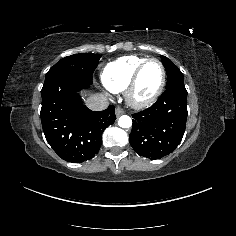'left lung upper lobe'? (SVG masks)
<instances>
[{
	"label": "left lung upper lobe",
	"mask_w": 236,
	"mask_h": 236,
	"mask_svg": "<svg viewBox=\"0 0 236 236\" xmlns=\"http://www.w3.org/2000/svg\"><path fill=\"white\" fill-rule=\"evenodd\" d=\"M161 61L167 72L168 81L166 89L174 85L184 84V77L179 68L171 60L163 55H161Z\"/></svg>",
	"instance_id": "5c2ea615"
}]
</instances>
